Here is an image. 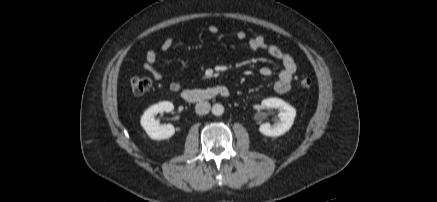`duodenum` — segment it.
<instances>
[{"instance_id":"410a0bca","label":"duodenum","mask_w":437,"mask_h":202,"mask_svg":"<svg viewBox=\"0 0 437 202\" xmlns=\"http://www.w3.org/2000/svg\"><path fill=\"white\" fill-rule=\"evenodd\" d=\"M230 90L224 85H218L203 89H185L181 92V97L192 103L211 100L217 97L227 98Z\"/></svg>"}]
</instances>
